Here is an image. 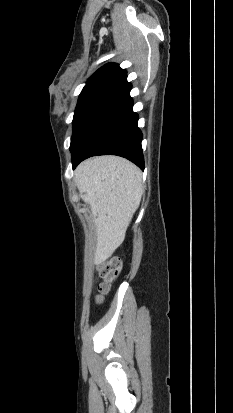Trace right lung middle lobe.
Masks as SVG:
<instances>
[{"mask_svg": "<svg viewBox=\"0 0 233 413\" xmlns=\"http://www.w3.org/2000/svg\"><path fill=\"white\" fill-rule=\"evenodd\" d=\"M114 84L115 81L103 80L87 84L83 88L73 118L70 150L77 142L92 112Z\"/></svg>", "mask_w": 233, "mask_h": 413, "instance_id": "obj_1", "label": "right lung middle lobe"}]
</instances>
